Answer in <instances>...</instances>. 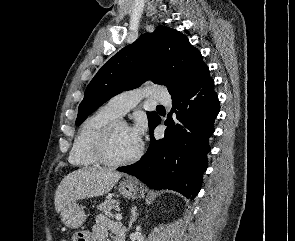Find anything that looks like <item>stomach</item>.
Returning a JSON list of instances; mask_svg holds the SVG:
<instances>
[{
	"label": "stomach",
	"mask_w": 295,
	"mask_h": 241,
	"mask_svg": "<svg viewBox=\"0 0 295 241\" xmlns=\"http://www.w3.org/2000/svg\"><path fill=\"white\" fill-rule=\"evenodd\" d=\"M119 191L127 199H134L144 194L142 187L133 179L122 181L119 184ZM86 218L87 215L85 214L84 208L76 202L67 205L61 211V221L65 226L72 229L80 228Z\"/></svg>",
	"instance_id": "0dacf381"
}]
</instances>
